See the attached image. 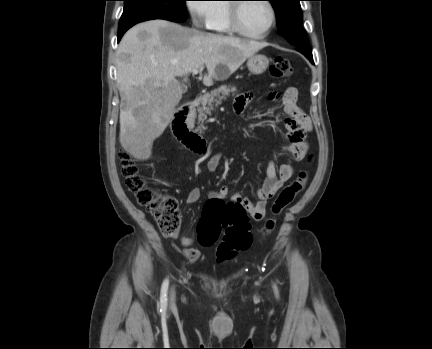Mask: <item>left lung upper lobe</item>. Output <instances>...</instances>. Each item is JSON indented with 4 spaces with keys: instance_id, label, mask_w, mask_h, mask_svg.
Listing matches in <instances>:
<instances>
[{
    "instance_id": "5c2ea615",
    "label": "left lung upper lobe",
    "mask_w": 432,
    "mask_h": 349,
    "mask_svg": "<svg viewBox=\"0 0 432 349\" xmlns=\"http://www.w3.org/2000/svg\"><path fill=\"white\" fill-rule=\"evenodd\" d=\"M277 15L279 33L297 48L310 49V44L302 28L300 0H268Z\"/></svg>"
}]
</instances>
